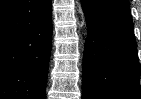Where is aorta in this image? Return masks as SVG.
Returning <instances> with one entry per match:
<instances>
[{"label": "aorta", "instance_id": "1", "mask_svg": "<svg viewBox=\"0 0 141 99\" xmlns=\"http://www.w3.org/2000/svg\"><path fill=\"white\" fill-rule=\"evenodd\" d=\"M81 17H82V19H84V15H83V12L81 11ZM81 26L82 27H86V23L84 22V20H83V22L81 23Z\"/></svg>", "mask_w": 141, "mask_h": 99}]
</instances>
